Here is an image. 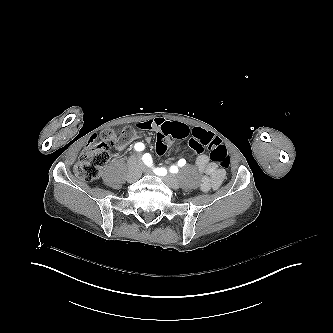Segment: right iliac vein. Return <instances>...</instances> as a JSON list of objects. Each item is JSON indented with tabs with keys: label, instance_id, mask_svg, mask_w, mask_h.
Segmentation results:
<instances>
[{
	"label": "right iliac vein",
	"instance_id": "1",
	"mask_svg": "<svg viewBox=\"0 0 333 333\" xmlns=\"http://www.w3.org/2000/svg\"><path fill=\"white\" fill-rule=\"evenodd\" d=\"M128 169L127 181L130 183L137 181L140 178L141 170L135 157L129 159Z\"/></svg>",
	"mask_w": 333,
	"mask_h": 333
}]
</instances>
